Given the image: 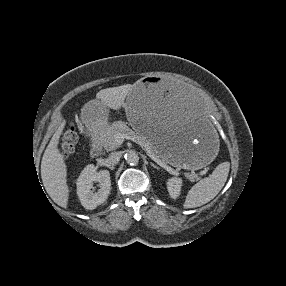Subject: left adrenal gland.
I'll list each match as a JSON object with an SVG mask.
<instances>
[{
    "instance_id": "left-adrenal-gland-1",
    "label": "left adrenal gland",
    "mask_w": 286,
    "mask_h": 286,
    "mask_svg": "<svg viewBox=\"0 0 286 286\" xmlns=\"http://www.w3.org/2000/svg\"><path fill=\"white\" fill-rule=\"evenodd\" d=\"M150 165H151L153 168L157 169V170L160 169V168H159L158 166H156L154 163H150Z\"/></svg>"
}]
</instances>
